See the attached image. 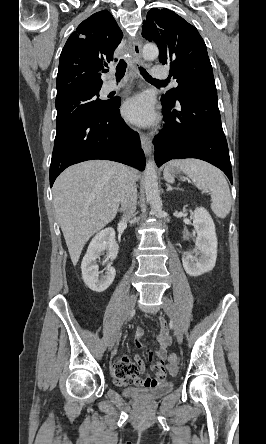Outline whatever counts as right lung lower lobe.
Instances as JSON below:
<instances>
[{"label":"right lung lower lobe","instance_id":"98d812e1","mask_svg":"<svg viewBox=\"0 0 266 444\" xmlns=\"http://www.w3.org/2000/svg\"><path fill=\"white\" fill-rule=\"evenodd\" d=\"M119 101L91 119L74 122L56 132L50 165V186L70 165L104 159L121 162L143 171L145 156L138 133L131 130L119 113Z\"/></svg>","mask_w":266,"mask_h":444}]
</instances>
